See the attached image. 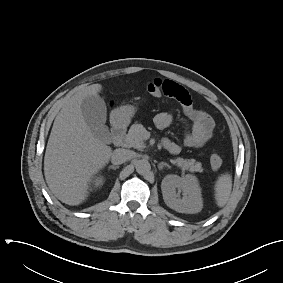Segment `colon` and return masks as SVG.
Here are the masks:
<instances>
[{
    "mask_svg": "<svg viewBox=\"0 0 283 283\" xmlns=\"http://www.w3.org/2000/svg\"><path fill=\"white\" fill-rule=\"evenodd\" d=\"M146 90L154 97H161L163 94L162 80L156 79L147 84ZM222 157L219 153H213L210 157V164L213 170H218L222 166Z\"/></svg>",
    "mask_w": 283,
    "mask_h": 283,
    "instance_id": "obj_1",
    "label": "colon"
}]
</instances>
